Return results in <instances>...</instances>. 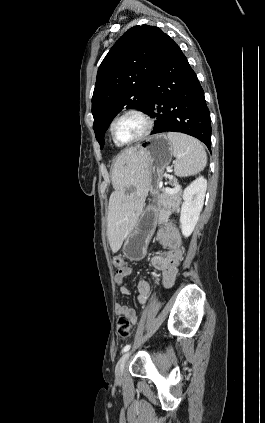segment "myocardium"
Returning a JSON list of instances; mask_svg holds the SVG:
<instances>
[{
	"mask_svg": "<svg viewBox=\"0 0 265 423\" xmlns=\"http://www.w3.org/2000/svg\"><path fill=\"white\" fill-rule=\"evenodd\" d=\"M130 115H134V116L141 118L144 121L145 127H144V130L142 131V133L138 137H136L135 139L128 141V142H121L115 136L114 127H115V124L120 119H122L126 116H130ZM153 128H154V121L151 118V116L148 113H146L144 110L139 109V108H135V107L126 108V109L122 110L120 113H118L112 119L110 126H109V130H110L112 140L114 141L115 144H117L119 146H128V145H132V144H135V143H138V142L144 140L147 136L150 135Z\"/></svg>",
	"mask_w": 265,
	"mask_h": 423,
	"instance_id": "obj_1",
	"label": "myocardium"
}]
</instances>
